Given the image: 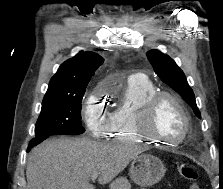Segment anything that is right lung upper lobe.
I'll list each match as a JSON object with an SVG mask.
<instances>
[{
	"label": "right lung upper lobe",
	"instance_id": "obj_1",
	"mask_svg": "<svg viewBox=\"0 0 223 189\" xmlns=\"http://www.w3.org/2000/svg\"><path fill=\"white\" fill-rule=\"evenodd\" d=\"M104 59L96 53L83 52L60 65L51 78L46 94H72L85 89Z\"/></svg>",
	"mask_w": 223,
	"mask_h": 189
}]
</instances>
